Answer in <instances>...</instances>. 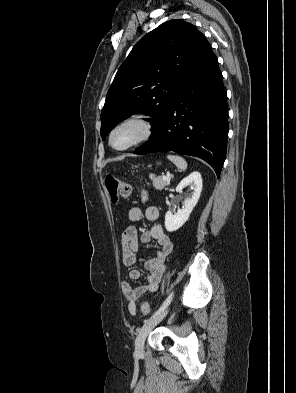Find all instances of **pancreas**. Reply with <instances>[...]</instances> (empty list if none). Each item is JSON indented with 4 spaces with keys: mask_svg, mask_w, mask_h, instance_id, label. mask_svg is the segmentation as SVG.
I'll return each instance as SVG.
<instances>
[{
    "mask_svg": "<svg viewBox=\"0 0 296 393\" xmlns=\"http://www.w3.org/2000/svg\"><path fill=\"white\" fill-rule=\"evenodd\" d=\"M153 186L157 190H162L165 186L169 185V181L164 180L162 177L150 176Z\"/></svg>",
    "mask_w": 296,
    "mask_h": 393,
    "instance_id": "obj_1",
    "label": "pancreas"
}]
</instances>
